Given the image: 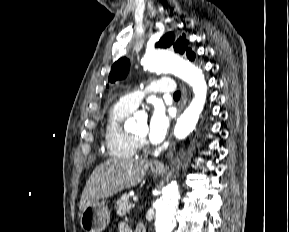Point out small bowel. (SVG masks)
Wrapping results in <instances>:
<instances>
[{
    "instance_id": "small-bowel-1",
    "label": "small bowel",
    "mask_w": 289,
    "mask_h": 232,
    "mask_svg": "<svg viewBox=\"0 0 289 232\" xmlns=\"http://www.w3.org/2000/svg\"><path fill=\"white\" fill-rule=\"evenodd\" d=\"M135 230L133 231L128 224L123 222L118 225V232H135Z\"/></svg>"
}]
</instances>
